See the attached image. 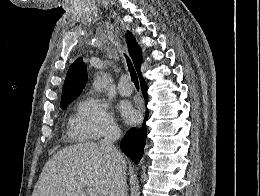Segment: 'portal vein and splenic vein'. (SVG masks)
Masks as SVG:
<instances>
[{
    "mask_svg": "<svg viewBox=\"0 0 260 196\" xmlns=\"http://www.w3.org/2000/svg\"><path fill=\"white\" fill-rule=\"evenodd\" d=\"M86 192L87 196H99V192H96V190H92V188H87Z\"/></svg>",
    "mask_w": 260,
    "mask_h": 196,
    "instance_id": "18ae733b",
    "label": "portal vein and splenic vein"
}]
</instances>
